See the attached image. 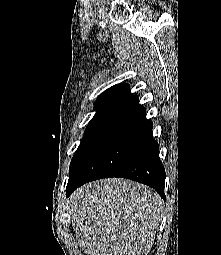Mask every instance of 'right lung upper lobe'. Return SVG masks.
I'll return each instance as SVG.
<instances>
[{"mask_svg": "<svg viewBox=\"0 0 221 255\" xmlns=\"http://www.w3.org/2000/svg\"><path fill=\"white\" fill-rule=\"evenodd\" d=\"M135 97L130 92V87L128 84H117L106 91H104L96 100L94 109H119L132 100Z\"/></svg>", "mask_w": 221, "mask_h": 255, "instance_id": "cb5924a9", "label": "right lung upper lobe"}]
</instances>
